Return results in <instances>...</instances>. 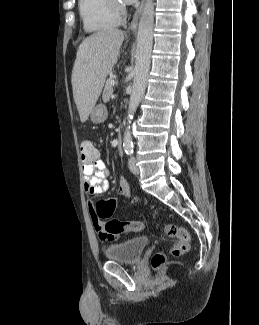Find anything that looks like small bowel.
<instances>
[{
  "instance_id": "obj_1",
  "label": "small bowel",
  "mask_w": 259,
  "mask_h": 325,
  "mask_svg": "<svg viewBox=\"0 0 259 325\" xmlns=\"http://www.w3.org/2000/svg\"><path fill=\"white\" fill-rule=\"evenodd\" d=\"M82 173L84 176V190L89 195H101L109 189V170L104 161L100 158L97 151L96 158L90 163L82 162ZM130 186L125 178H120L118 185V194L122 197L130 196ZM90 216L94 228L102 241H113L119 237V234L111 235L105 232L104 222L100 220L95 213L92 202L89 201Z\"/></svg>"
}]
</instances>
